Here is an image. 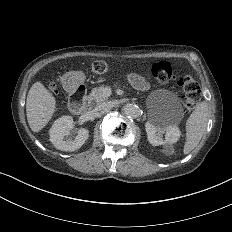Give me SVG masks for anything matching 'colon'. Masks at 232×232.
<instances>
[{
    "mask_svg": "<svg viewBox=\"0 0 232 232\" xmlns=\"http://www.w3.org/2000/svg\"><path fill=\"white\" fill-rule=\"evenodd\" d=\"M106 66V61H92V65H88L87 69L89 73H109V68H102ZM158 82H165V77H158ZM178 82L180 86H187L184 89V94H182V99H184V106H182V111H198L200 107V97H195V94H200L202 90L201 86H193V81L191 77H178ZM47 89H54V84H46Z\"/></svg>",
    "mask_w": 232,
    "mask_h": 232,
    "instance_id": "1",
    "label": "colon"
}]
</instances>
